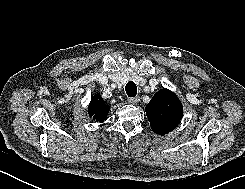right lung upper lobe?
<instances>
[{
	"mask_svg": "<svg viewBox=\"0 0 245 189\" xmlns=\"http://www.w3.org/2000/svg\"><path fill=\"white\" fill-rule=\"evenodd\" d=\"M88 108L90 117L96 121L103 122L106 119L110 107L99 94H95Z\"/></svg>",
	"mask_w": 245,
	"mask_h": 189,
	"instance_id": "1",
	"label": "right lung upper lobe"
}]
</instances>
